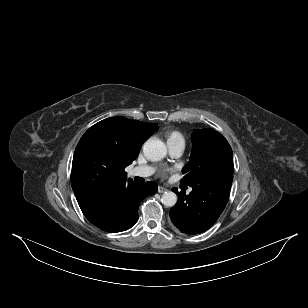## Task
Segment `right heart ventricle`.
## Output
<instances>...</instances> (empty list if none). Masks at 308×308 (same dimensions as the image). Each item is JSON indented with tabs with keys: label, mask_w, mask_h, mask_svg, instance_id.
<instances>
[{
	"label": "right heart ventricle",
	"mask_w": 308,
	"mask_h": 308,
	"mask_svg": "<svg viewBox=\"0 0 308 308\" xmlns=\"http://www.w3.org/2000/svg\"><path fill=\"white\" fill-rule=\"evenodd\" d=\"M167 143L169 142H179L185 145V138L183 134L177 130L167 131L166 134Z\"/></svg>",
	"instance_id": "1"
}]
</instances>
